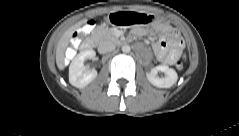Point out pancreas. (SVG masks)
Here are the masks:
<instances>
[{"label":"pancreas","instance_id":"obj_1","mask_svg":"<svg viewBox=\"0 0 239 136\" xmlns=\"http://www.w3.org/2000/svg\"><path fill=\"white\" fill-rule=\"evenodd\" d=\"M93 38H97L99 40L110 39V40H117L114 36V33L111 29L103 26H99L92 34Z\"/></svg>","mask_w":239,"mask_h":136}]
</instances>
